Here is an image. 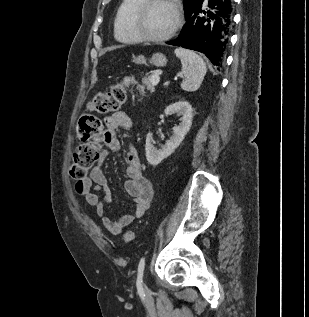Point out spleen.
Instances as JSON below:
<instances>
[{"mask_svg":"<svg viewBox=\"0 0 309 317\" xmlns=\"http://www.w3.org/2000/svg\"><path fill=\"white\" fill-rule=\"evenodd\" d=\"M174 52L182 64L181 88L188 92L196 91L201 86L207 72L205 62L195 52L187 49L177 48Z\"/></svg>","mask_w":309,"mask_h":317,"instance_id":"spleen-1","label":"spleen"}]
</instances>
